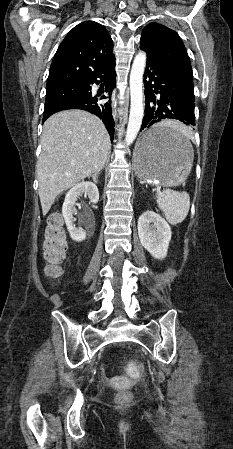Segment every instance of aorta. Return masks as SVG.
<instances>
[{
	"mask_svg": "<svg viewBox=\"0 0 233 449\" xmlns=\"http://www.w3.org/2000/svg\"><path fill=\"white\" fill-rule=\"evenodd\" d=\"M146 53L140 51L134 58L130 73V95L131 106L127 132L125 136L126 145L135 140L143 120V74L146 65Z\"/></svg>",
	"mask_w": 233,
	"mask_h": 449,
	"instance_id": "762f6f07",
	"label": "aorta"
}]
</instances>
